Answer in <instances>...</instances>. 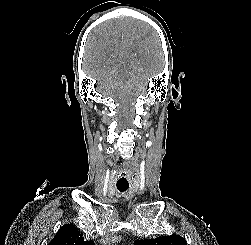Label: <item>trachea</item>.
<instances>
[{"label": "trachea", "mask_w": 251, "mask_h": 245, "mask_svg": "<svg viewBox=\"0 0 251 245\" xmlns=\"http://www.w3.org/2000/svg\"><path fill=\"white\" fill-rule=\"evenodd\" d=\"M116 185H117V189L120 192H124V191H126L129 188L128 182H117Z\"/></svg>", "instance_id": "3493384b"}]
</instances>
